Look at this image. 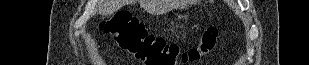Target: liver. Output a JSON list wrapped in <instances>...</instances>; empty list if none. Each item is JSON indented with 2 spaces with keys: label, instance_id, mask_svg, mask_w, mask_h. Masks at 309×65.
Returning <instances> with one entry per match:
<instances>
[{
  "label": "liver",
  "instance_id": "liver-1",
  "mask_svg": "<svg viewBox=\"0 0 309 65\" xmlns=\"http://www.w3.org/2000/svg\"><path fill=\"white\" fill-rule=\"evenodd\" d=\"M99 13L101 15H111L119 10L124 4V0H101L99 2ZM141 6L145 7L148 11L158 10L160 3L156 0H140Z\"/></svg>",
  "mask_w": 309,
  "mask_h": 65
}]
</instances>
